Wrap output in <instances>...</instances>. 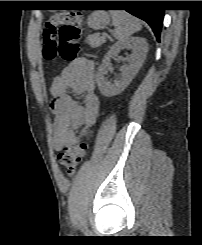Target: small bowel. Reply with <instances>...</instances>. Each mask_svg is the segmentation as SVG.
<instances>
[{
  "label": "small bowel",
  "instance_id": "obj_1",
  "mask_svg": "<svg viewBox=\"0 0 202 245\" xmlns=\"http://www.w3.org/2000/svg\"><path fill=\"white\" fill-rule=\"evenodd\" d=\"M95 64L90 60L70 62L60 75L53 79L51 94L55 115L53 146L61 152L77 143L96 121L100 100L94 93ZM71 89L80 99H75Z\"/></svg>",
  "mask_w": 202,
  "mask_h": 245
}]
</instances>
